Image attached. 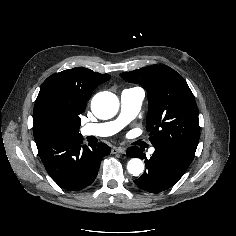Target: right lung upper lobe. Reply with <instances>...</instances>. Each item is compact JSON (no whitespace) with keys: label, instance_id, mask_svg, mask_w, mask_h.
I'll return each mask as SVG.
<instances>
[{"label":"right lung upper lobe","instance_id":"right-lung-upper-lobe-1","mask_svg":"<svg viewBox=\"0 0 236 236\" xmlns=\"http://www.w3.org/2000/svg\"><path fill=\"white\" fill-rule=\"evenodd\" d=\"M110 78L108 74L87 68L64 70L48 77L42 84L33 110V132L36 142L45 140L41 123L47 114H56L69 126L80 123L93 90Z\"/></svg>","mask_w":236,"mask_h":236}]
</instances>
